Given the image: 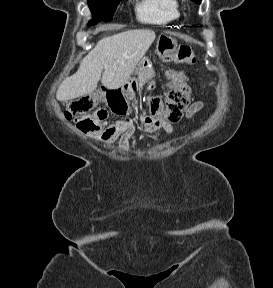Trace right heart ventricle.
<instances>
[{
	"label": "right heart ventricle",
	"mask_w": 273,
	"mask_h": 288,
	"mask_svg": "<svg viewBox=\"0 0 273 288\" xmlns=\"http://www.w3.org/2000/svg\"><path fill=\"white\" fill-rule=\"evenodd\" d=\"M136 11L141 21L152 24H167L180 16L177 0H141Z\"/></svg>",
	"instance_id": "e07e8e85"
}]
</instances>
